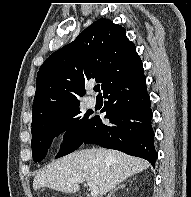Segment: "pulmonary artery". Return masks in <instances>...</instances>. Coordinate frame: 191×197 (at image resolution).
Listing matches in <instances>:
<instances>
[{"label":"pulmonary artery","mask_w":191,"mask_h":197,"mask_svg":"<svg viewBox=\"0 0 191 197\" xmlns=\"http://www.w3.org/2000/svg\"><path fill=\"white\" fill-rule=\"evenodd\" d=\"M87 104H88L90 107H94L95 104H96V99H95V97H93V96H88V97H87Z\"/></svg>","instance_id":"1"}]
</instances>
